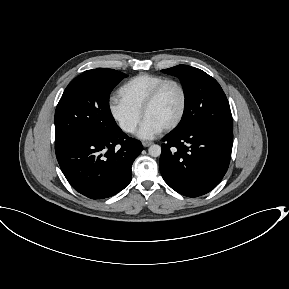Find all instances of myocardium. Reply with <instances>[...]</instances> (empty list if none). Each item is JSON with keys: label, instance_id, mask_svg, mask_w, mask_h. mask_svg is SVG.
Here are the masks:
<instances>
[{"label": "myocardium", "instance_id": "f54148a6", "mask_svg": "<svg viewBox=\"0 0 289 289\" xmlns=\"http://www.w3.org/2000/svg\"><path fill=\"white\" fill-rule=\"evenodd\" d=\"M168 84H174L178 87V89L181 92L182 103H181V109H180L178 116L176 117V119L172 123H170L169 125H167L166 127L163 128V130H165V131H171V130L177 128L180 125V123L183 121L185 114H186V111H187L188 94H187L186 88L184 87V85L180 81H178L176 79H165V80L161 81L160 83H158L150 91V93L146 97V99L142 105V108H141V114L143 117H145V114L148 111V109L154 104V102L158 98L162 89Z\"/></svg>", "mask_w": 289, "mask_h": 289}]
</instances>
